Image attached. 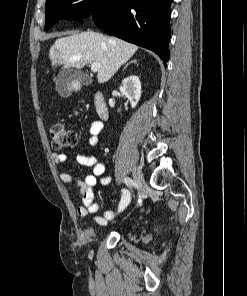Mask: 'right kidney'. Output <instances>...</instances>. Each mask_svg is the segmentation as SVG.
I'll use <instances>...</instances> for the list:
<instances>
[{
    "label": "right kidney",
    "instance_id": "obj_1",
    "mask_svg": "<svg viewBox=\"0 0 247 296\" xmlns=\"http://www.w3.org/2000/svg\"><path fill=\"white\" fill-rule=\"evenodd\" d=\"M120 92L128 98L131 107L135 108L141 97V83L137 76L131 75L122 81Z\"/></svg>",
    "mask_w": 247,
    "mask_h": 296
}]
</instances>
